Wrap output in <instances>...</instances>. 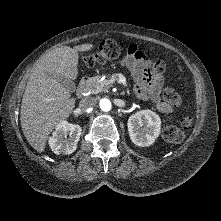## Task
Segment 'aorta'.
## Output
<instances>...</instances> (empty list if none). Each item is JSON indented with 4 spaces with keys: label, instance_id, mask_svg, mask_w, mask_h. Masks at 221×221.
Segmentation results:
<instances>
[{
    "label": "aorta",
    "instance_id": "obj_1",
    "mask_svg": "<svg viewBox=\"0 0 221 221\" xmlns=\"http://www.w3.org/2000/svg\"><path fill=\"white\" fill-rule=\"evenodd\" d=\"M99 105L103 111H109L111 109V102L109 99H101Z\"/></svg>",
    "mask_w": 221,
    "mask_h": 221
}]
</instances>
